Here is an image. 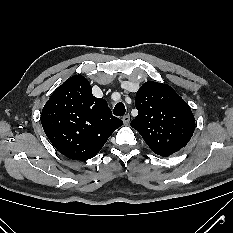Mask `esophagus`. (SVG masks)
<instances>
[{
	"label": "esophagus",
	"mask_w": 233,
	"mask_h": 233,
	"mask_svg": "<svg viewBox=\"0 0 233 233\" xmlns=\"http://www.w3.org/2000/svg\"><path fill=\"white\" fill-rule=\"evenodd\" d=\"M122 121L125 125H128L130 122V116L129 115L123 116Z\"/></svg>",
	"instance_id": "1"
}]
</instances>
